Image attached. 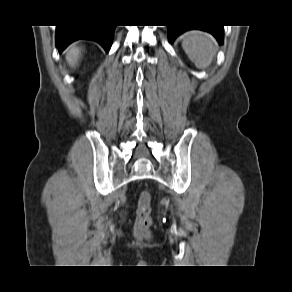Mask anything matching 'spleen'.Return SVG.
<instances>
[{
	"mask_svg": "<svg viewBox=\"0 0 292 292\" xmlns=\"http://www.w3.org/2000/svg\"><path fill=\"white\" fill-rule=\"evenodd\" d=\"M182 48L198 69L209 67L216 53L214 37L198 30L182 35Z\"/></svg>",
	"mask_w": 292,
	"mask_h": 292,
	"instance_id": "obj_1",
	"label": "spleen"
}]
</instances>
